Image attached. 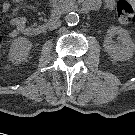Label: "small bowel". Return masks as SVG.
I'll use <instances>...</instances> for the list:
<instances>
[{"label":"small bowel","mask_w":135,"mask_h":135,"mask_svg":"<svg viewBox=\"0 0 135 135\" xmlns=\"http://www.w3.org/2000/svg\"><path fill=\"white\" fill-rule=\"evenodd\" d=\"M23 0H12V2H21ZM51 3H56L60 0H49ZM89 3H91L92 8H97L99 6H104L106 9H112L115 4V0H87ZM10 2L5 1L2 4V10L3 11H9L10 9ZM11 25L13 26V29L10 32L11 37H16L19 34L25 33L27 29V20L24 17H16L12 20Z\"/></svg>","instance_id":"obj_1"}]
</instances>
